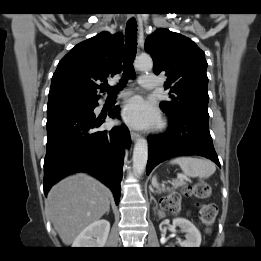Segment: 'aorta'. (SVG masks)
Wrapping results in <instances>:
<instances>
[{
	"label": "aorta",
	"instance_id": "1",
	"mask_svg": "<svg viewBox=\"0 0 261 261\" xmlns=\"http://www.w3.org/2000/svg\"><path fill=\"white\" fill-rule=\"evenodd\" d=\"M135 68L138 70H151L153 61L150 56H139L134 63ZM148 159V142L145 138L139 137L135 143L133 150V167L137 175H141L147 164Z\"/></svg>",
	"mask_w": 261,
	"mask_h": 261
}]
</instances>
